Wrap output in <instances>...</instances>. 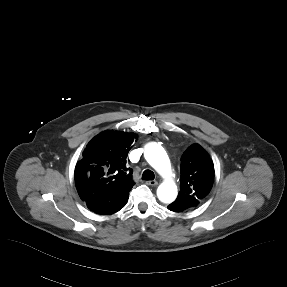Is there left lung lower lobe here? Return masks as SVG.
<instances>
[{
  "mask_svg": "<svg viewBox=\"0 0 287 287\" xmlns=\"http://www.w3.org/2000/svg\"><path fill=\"white\" fill-rule=\"evenodd\" d=\"M168 209L174 212H178L177 209L171 204L168 206Z\"/></svg>",
  "mask_w": 287,
  "mask_h": 287,
  "instance_id": "left-lung-lower-lobe-1",
  "label": "left lung lower lobe"
}]
</instances>
